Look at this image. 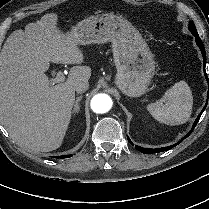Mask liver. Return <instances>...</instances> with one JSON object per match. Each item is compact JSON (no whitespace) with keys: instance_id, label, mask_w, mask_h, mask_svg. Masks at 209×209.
I'll return each instance as SVG.
<instances>
[{"instance_id":"1","label":"liver","mask_w":209,"mask_h":209,"mask_svg":"<svg viewBox=\"0 0 209 209\" xmlns=\"http://www.w3.org/2000/svg\"><path fill=\"white\" fill-rule=\"evenodd\" d=\"M49 13L25 30H15L0 53V122L19 145L48 152L61 146L71 119L75 86L91 77L89 66H73L55 86L45 74L50 62L81 64L78 45L57 27Z\"/></svg>"}]
</instances>
